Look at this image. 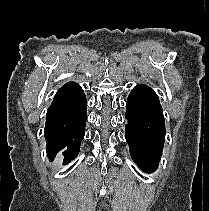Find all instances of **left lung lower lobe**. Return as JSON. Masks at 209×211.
I'll return each instance as SVG.
<instances>
[{"label": "left lung lower lobe", "mask_w": 209, "mask_h": 211, "mask_svg": "<svg viewBox=\"0 0 209 211\" xmlns=\"http://www.w3.org/2000/svg\"><path fill=\"white\" fill-rule=\"evenodd\" d=\"M125 137L133 161L145 172L158 167L165 141V122L158 96L144 84L136 85L127 103Z\"/></svg>", "instance_id": "0a47b994"}]
</instances>
